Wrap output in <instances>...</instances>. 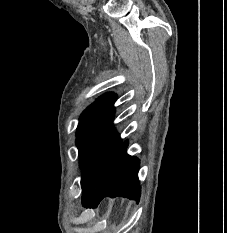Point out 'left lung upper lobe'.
<instances>
[{"mask_svg": "<svg viewBox=\"0 0 227 233\" xmlns=\"http://www.w3.org/2000/svg\"><path fill=\"white\" fill-rule=\"evenodd\" d=\"M116 95L108 93L98 98L81 115L77 128V146L82 169L83 198L100 185L121 139L112 126Z\"/></svg>", "mask_w": 227, "mask_h": 233, "instance_id": "left-lung-upper-lobe-1", "label": "left lung upper lobe"}]
</instances>
